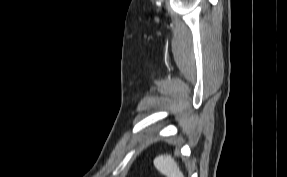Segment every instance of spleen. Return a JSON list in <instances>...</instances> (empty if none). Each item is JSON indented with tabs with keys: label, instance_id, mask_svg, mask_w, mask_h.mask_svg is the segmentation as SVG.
<instances>
[{
	"label": "spleen",
	"instance_id": "obj_1",
	"mask_svg": "<svg viewBox=\"0 0 287 177\" xmlns=\"http://www.w3.org/2000/svg\"><path fill=\"white\" fill-rule=\"evenodd\" d=\"M155 168L166 177H184L177 162L170 155H161L153 161Z\"/></svg>",
	"mask_w": 287,
	"mask_h": 177
}]
</instances>
